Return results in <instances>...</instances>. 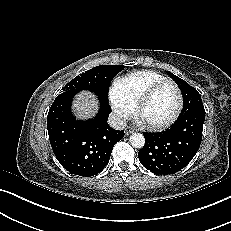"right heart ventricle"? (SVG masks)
I'll return each instance as SVG.
<instances>
[{"mask_svg":"<svg viewBox=\"0 0 231 231\" xmlns=\"http://www.w3.org/2000/svg\"><path fill=\"white\" fill-rule=\"evenodd\" d=\"M164 79L153 71H141L126 77L116 86V94L129 108L134 106L145 91L155 83Z\"/></svg>","mask_w":231,"mask_h":231,"instance_id":"1","label":"right heart ventricle"}]
</instances>
